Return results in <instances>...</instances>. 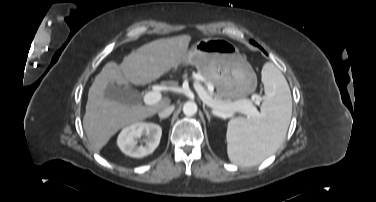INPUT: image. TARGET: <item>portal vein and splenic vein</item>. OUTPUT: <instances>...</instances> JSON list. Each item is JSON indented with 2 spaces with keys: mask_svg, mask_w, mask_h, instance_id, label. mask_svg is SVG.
I'll return each mask as SVG.
<instances>
[{
  "mask_svg": "<svg viewBox=\"0 0 376 202\" xmlns=\"http://www.w3.org/2000/svg\"><path fill=\"white\" fill-rule=\"evenodd\" d=\"M195 89L198 92L200 98L204 99V103L214 110L212 113L216 115V110L225 111L233 116L234 112L244 111L245 114L249 116H255L257 114V109L253 106L250 100L244 101H216L210 95H208L200 86L195 85ZM162 99V96L159 92L151 91L144 95V102L147 105H152L158 103Z\"/></svg>",
  "mask_w": 376,
  "mask_h": 202,
  "instance_id": "18ae733b",
  "label": "portal vein and splenic vein"
}]
</instances>
